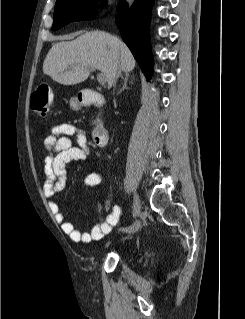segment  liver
Segmentation results:
<instances>
[{
  "label": "liver",
  "mask_w": 245,
  "mask_h": 319,
  "mask_svg": "<svg viewBox=\"0 0 245 319\" xmlns=\"http://www.w3.org/2000/svg\"><path fill=\"white\" fill-rule=\"evenodd\" d=\"M135 63L131 51L118 37L92 31L73 41L55 43L44 60L43 72L60 84L76 85L89 77L90 68H96L111 86L118 69L129 73Z\"/></svg>",
  "instance_id": "6515ba94"
}]
</instances>
